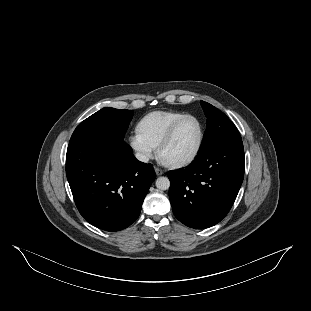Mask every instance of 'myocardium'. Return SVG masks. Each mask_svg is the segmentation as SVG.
<instances>
[{"label": "myocardium", "instance_id": "obj_1", "mask_svg": "<svg viewBox=\"0 0 311 311\" xmlns=\"http://www.w3.org/2000/svg\"><path fill=\"white\" fill-rule=\"evenodd\" d=\"M189 118H195L198 120V122L200 123L201 126V136H200V140L197 146L196 151L194 152V154L183 161H179V162H166L163 160L162 158V153L163 151L172 143L176 132L178 130V128L180 127V125L186 121ZM206 126L205 123L203 122V120L195 115V114H186L183 117H181L180 119H178L173 125L172 127L169 129V131L167 132V134L164 136V138L161 140V142L159 143L158 147H157V154L159 159L168 167L173 168V169H177V168H184L187 166H190L191 164H193L200 156L203 147H204V143H205V139H206Z\"/></svg>", "mask_w": 311, "mask_h": 311}]
</instances>
